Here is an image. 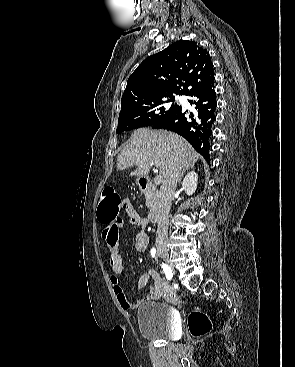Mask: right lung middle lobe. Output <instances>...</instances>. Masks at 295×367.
Listing matches in <instances>:
<instances>
[{
	"label": "right lung middle lobe",
	"instance_id": "obj_1",
	"mask_svg": "<svg viewBox=\"0 0 295 367\" xmlns=\"http://www.w3.org/2000/svg\"><path fill=\"white\" fill-rule=\"evenodd\" d=\"M179 107L177 103H174L173 94L131 102L119 114L116 131L121 133L140 127H151L159 120L172 114Z\"/></svg>",
	"mask_w": 295,
	"mask_h": 367
}]
</instances>
